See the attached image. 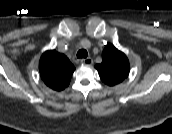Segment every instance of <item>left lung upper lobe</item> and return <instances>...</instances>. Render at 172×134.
Segmentation results:
<instances>
[{
    "mask_svg": "<svg viewBox=\"0 0 172 134\" xmlns=\"http://www.w3.org/2000/svg\"><path fill=\"white\" fill-rule=\"evenodd\" d=\"M101 80L109 86L122 82L129 75V61L126 55L114 45L108 44L102 53V63L97 64Z\"/></svg>",
    "mask_w": 172,
    "mask_h": 134,
    "instance_id": "left-lung-upper-lobe-1",
    "label": "left lung upper lobe"
}]
</instances>
